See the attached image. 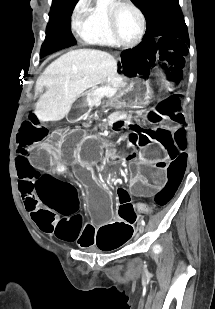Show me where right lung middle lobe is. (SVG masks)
Returning <instances> with one entry per match:
<instances>
[{
    "label": "right lung middle lobe",
    "instance_id": "obj_1",
    "mask_svg": "<svg viewBox=\"0 0 215 309\" xmlns=\"http://www.w3.org/2000/svg\"><path fill=\"white\" fill-rule=\"evenodd\" d=\"M78 0H53L46 39L41 47L40 57L76 44L71 33V14Z\"/></svg>",
    "mask_w": 215,
    "mask_h": 309
}]
</instances>
